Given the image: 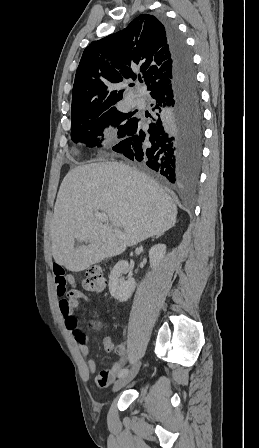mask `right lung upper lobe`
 Here are the masks:
<instances>
[{"label": "right lung upper lobe", "instance_id": "1", "mask_svg": "<svg viewBox=\"0 0 259 448\" xmlns=\"http://www.w3.org/2000/svg\"><path fill=\"white\" fill-rule=\"evenodd\" d=\"M137 70L150 96L170 89L173 66L166 31L153 15H139L122 31L93 41L84 50L75 75L71 114L115 105L123 97L118 84L135 80Z\"/></svg>", "mask_w": 259, "mask_h": 448}]
</instances>
